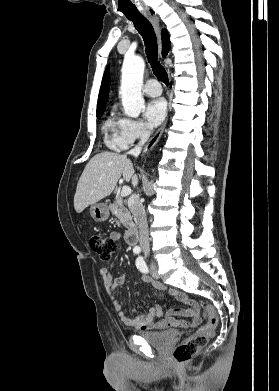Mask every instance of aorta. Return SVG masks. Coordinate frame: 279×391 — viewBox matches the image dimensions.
<instances>
[{
	"label": "aorta",
	"instance_id": "1",
	"mask_svg": "<svg viewBox=\"0 0 279 391\" xmlns=\"http://www.w3.org/2000/svg\"><path fill=\"white\" fill-rule=\"evenodd\" d=\"M145 63L140 56L125 57L122 66L120 95L124 113L137 118L144 108L141 94Z\"/></svg>",
	"mask_w": 279,
	"mask_h": 391
}]
</instances>
